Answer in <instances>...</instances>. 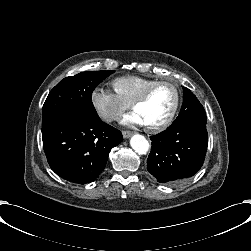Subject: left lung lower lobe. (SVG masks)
Instances as JSON below:
<instances>
[{
  "label": "left lung lower lobe",
  "instance_id": "0a47b994",
  "mask_svg": "<svg viewBox=\"0 0 251 251\" xmlns=\"http://www.w3.org/2000/svg\"><path fill=\"white\" fill-rule=\"evenodd\" d=\"M150 139L152 147L147 169L158 182H181L202 167L208 145L206 123H182Z\"/></svg>",
  "mask_w": 251,
  "mask_h": 251
}]
</instances>
